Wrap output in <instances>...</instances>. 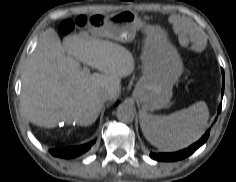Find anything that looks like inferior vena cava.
Segmentation results:
<instances>
[{
	"label": "inferior vena cava",
	"mask_w": 236,
	"mask_h": 182,
	"mask_svg": "<svg viewBox=\"0 0 236 182\" xmlns=\"http://www.w3.org/2000/svg\"><path fill=\"white\" fill-rule=\"evenodd\" d=\"M112 98V93L108 90H102L100 93H99V99L101 101H107V100H110Z\"/></svg>",
	"instance_id": "obj_1"
}]
</instances>
